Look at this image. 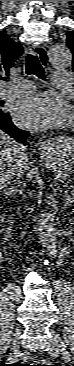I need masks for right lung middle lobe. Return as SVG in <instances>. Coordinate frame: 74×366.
<instances>
[{
  "instance_id": "obj_1",
  "label": "right lung middle lobe",
  "mask_w": 74,
  "mask_h": 366,
  "mask_svg": "<svg viewBox=\"0 0 74 366\" xmlns=\"http://www.w3.org/2000/svg\"><path fill=\"white\" fill-rule=\"evenodd\" d=\"M2 105V101H0V106ZM5 113H3L2 111H1V109H0V116L1 115H4Z\"/></svg>"
}]
</instances>
